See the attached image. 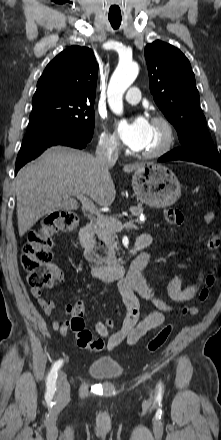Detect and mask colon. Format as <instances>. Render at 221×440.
I'll return each mask as SVG.
<instances>
[{
	"label": "colon",
	"instance_id": "obj_1",
	"mask_svg": "<svg viewBox=\"0 0 221 440\" xmlns=\"http://www.w3.org/2000/svg\"><path fill=\"white\" fill-rule=\"evenodd\" d=\"M165 219L168 224L180 226L184 221L183 213L177 208H169L165 212ZM207 223L215 220L213 213L205 216ZM78 217L72 212L57 211L48 214L42 221L41 226L32 230L28 234L21 255V264L27 272V281L31 288L42 290L50 288L55 279L56 273L49 266L52 260V237L60 232H70L77 228ZM220 247V239L216 235H211L207 239V248L214 255ZM215 283V272L211 271L205 278L204 285L198 292V300L203 302L208 296ZM187 308L181 311V315L186 314ZM85 307L82 302L74 305V310L70 318V327L75 335L78 347L94 351H102L105 342L102 339L93 337L90 330L85 327ZM103 323L107 329L115 328V320L111 315L103 316ZM173 329V324L164 325L160 331L150 339L145 348L148 352H155L165 345Z\"/></svg>",
	"mask_w": 221,
	"mask_h": 440
}]
</instances>
